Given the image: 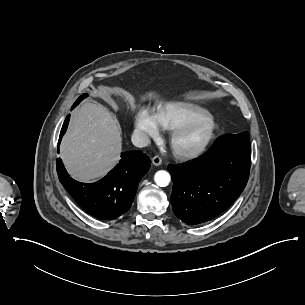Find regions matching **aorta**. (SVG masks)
Segmentation results:
<instances>
[{"instance_id": "aorta-1", "label": "aorta", "mask_w": 305, "mask_h": 305, "mask_svg": "<svg viewBox=\"0 0 305 305\" xmlns=\"http://www.w3.org/2000/svg\"><path fill=\"white\" fill-rule=\"evenodd\" d=\"M155 183L160 187H166L171 181L170 174L165 170L157 171L154 175Z\"/></svg>"}]
</instances>
